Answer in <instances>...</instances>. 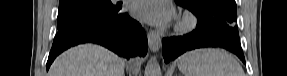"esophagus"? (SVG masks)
Wrapping results in <instances>:
<instances>
[{"instance_id":"1","label":"esophagus","mask_w":287,"mask_h":76,"mask_svg":"<svg viewBox=\"0 0 287 76\" xmlns=\"http://www.w3.org/2000/svg\"><path fill=\"white\" fill-rule=\"evenodd\" d=\"M147 36L150 50L158 52L161 45L160 35L156 31L150 30Z\"/></svg>"}]
</instances>
